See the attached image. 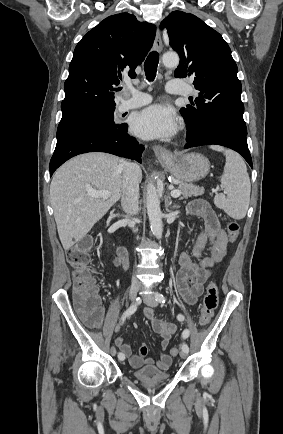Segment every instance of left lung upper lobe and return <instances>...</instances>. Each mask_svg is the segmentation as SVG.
Instances as JSON below:
<instances>
[{"label":"left lung upper lobe","mask_w":283,"mask_h":434,"mask_svg":"<svg viewBox=\"0 0 283 434\" xmlns=\"http://www.w3.org/2000/svg\"><path fill=\"white\" fill-rule=\"evenodd\" d=\"M164 27L171 47L180 56L175 77L192 78L199 92L192 105L180 110L188 126L187 138L215 129L247 135L237 65L222 36L195 15L182 11L170 13L160 24Z\"/></svg>","instance_id":"obj_1"}]
</instances>
